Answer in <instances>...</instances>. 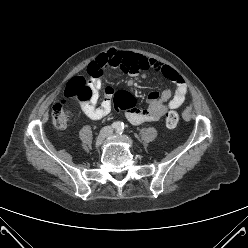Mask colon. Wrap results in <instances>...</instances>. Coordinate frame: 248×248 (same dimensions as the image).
Here are the masks:
<instances>
[{
	"instance_id": "1",
	"label": "colon",
	"mask_w": 248,
	"mask_h": 248,
	"mask_svg": "<svg viewBox=\"0 0 248 248\" xmlns=\"http://www.w3.org/2000/svg\"><path fill=\"white\" fill-rule=\"evenodd\" d=\"M102 68L90 66L88 73L91 77L99 78L102 75ZM65 96L69 99H76L82 102L88 101L92 96V89L87 77L80 75L72 78L65 89ZM115 107L118 109L129 110L133 105V99L126 92L118 93L114 98ZM66 100H61L53 106L52 119L58 128H65L72 118V113L65 108ZM179 121L176 111H170L166 116V125L173 128Z\"/></svg>"
}]
</instances>
